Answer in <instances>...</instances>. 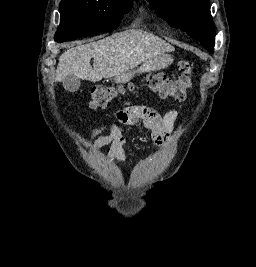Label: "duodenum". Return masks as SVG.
<instances>
[{
	"mask_svg": "<svg viewBox=\"0 0 256 267\" xmlns=\"http://www.w3.org/2000/svg\"><path fill=\"white\" fill-rule=\"evenodd\" d=\"M154 70V66H143L142 68H138V73H149V71ZM133 72H136V69H133ZM129 79H133L132 70H125V74H120L119 77H116V82H129Z\"/></svg>",
	"mask_w": 256,
	"mask_h": 267,
	"instance_id": "1",
	"label": "duodenum"
}]
</instances>
